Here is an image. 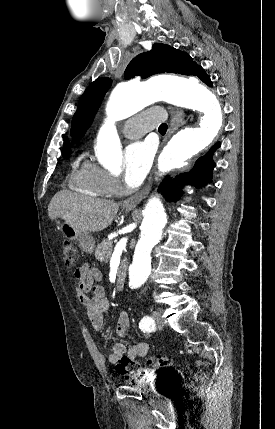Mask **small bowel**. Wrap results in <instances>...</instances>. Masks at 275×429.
I'll return each mask as SVG.
<instances>
[{
  "mask_svg": "<svg viewBox=\"0 0 275 429\" xmlns=\"http://www.w3.org/2000/svg\"><path fill=\"white\" fill-rule=\"evenodd\" d=\"M75 289L81 304L84 306L87 316L95 330H101L104 326L105 315L109 310V301L104 295L103 288L98 284L101 280V272L88 264L81 265L74 273ZM92 293L89 297L87 294ZM130 326L129 314L126 311L120 313L117 321V335L120 338L128 336ZM148 344L139 341L126 345L118 341L112 345L110 361L118 366L123 358L135 361L138 357H145L148 353Z\"/></svg>",
  "mask_w": 275,
  "mask_h": 429,
  "instance_id": "1",
  "label": "small bowel"
}]
</instances>
